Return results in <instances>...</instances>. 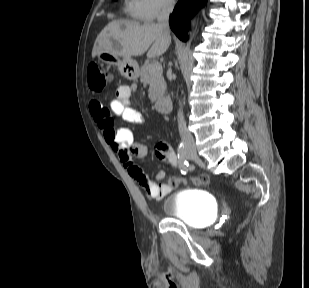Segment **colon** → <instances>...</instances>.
Instances as JSON below:
<instances>
[{
  "mask_svg": "<svg viewBox=\"0 0 309 288\" xmlns=\"http://www.w3.org/2000/svg\"><path fill=\"white\" fill-rule=\"evenodd\" d=\"M111 81V75L99 67H94L89 71V85L93 90H102ZM181 182V179L171 177L168 183L173 187H177L181 184ZM191 183L195 186H207L209 183V178L206 175H200L192 178Z\"/></svg>",
  "mask_w": 309,
  "mask_h": 288,
  "instance_id": "obj_1",
  "label": "colon"
}]
</instances>
